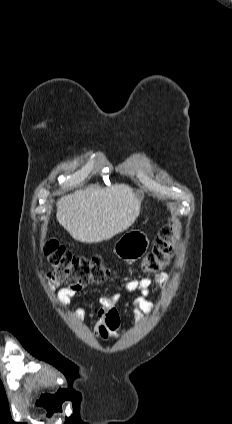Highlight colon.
<instances>
[{
  "label": "colon",
  "instance_id": "colon-1",
  "mask_svg": "<svg viewBox=\"0 0 232 424\" xmlns=\"http://www.w3.org/2000/svg\"><path fill=\"white\" fill-rule=\"evenodd\" d=\"M45 254L54 283L78 289L88 284L102 283L111 276L110 269L98 255H76L55 241L47 243ZM175 254L174 231L169 222L154 237L152 249L142 259L141 269L144 272L160 271L171 262Z\"/></svg>",
  "mask_w": 232,
  "mask_h": 424
}]
</instances>
